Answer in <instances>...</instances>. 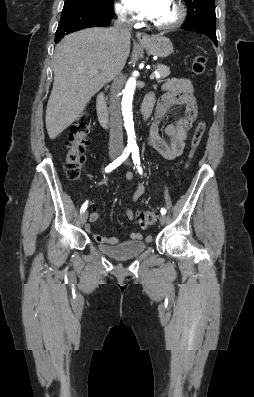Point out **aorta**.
Returning <instances> with one entry per match:
<instances>
[{"label":"aorta","mask_w":254,"mask_h":397,"mask_svg":"<svg viewBox=\"0 0 254 397\" xmlns=\"http://www.w3.org/2000/svg\"><path fill=\"white\" fill-rule=\"evenodd\" d=\"M135 86H136V80L134 77H132L127 81V84L123 90V97H122V115L124 118V126L127 132L129 147L136 146V136L134 131V122H133V114H132V101H133Z\"/></svg>","instance_id":"762f6f07"}]
</instances>
